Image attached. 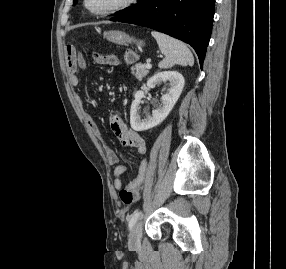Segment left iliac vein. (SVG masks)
Segmentation results:
<instances>
[{
  "label": "left iliac vein",
  "mask_w": 286,
  "mask_h": 269,
  "mask_svg": "<svg viewBox=\"0 0 286 269\" xmlns=\"http://www.w3.org/2000/svg\"><path fill=\"white\" fill-rule=\"evenodd\" d=\"M142 237V225L140 222L134 225L130 234H129V245L137 246L141 242Z\"/></svg>",
  "instance_id": "obj_1"
}]
</instances>
